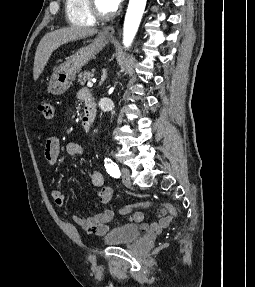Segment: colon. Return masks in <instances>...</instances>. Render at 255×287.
<instances>
[{
	"instance_id": "obj_1",
	"label": "colon",
	"mask_w": 255,
	"mask_h": 287,
	"mask_svg": "<svg viewBox=\"0 0 255 287\" xmlns=\"http://www.w3.org/2000/svg\"><path fill=\"white\" fill-rule=\"evenodd\" d=\"M38 108L44 119L51 120L54 117L55 106L52 102L43 100L42 102H40ZM151 204L152 203L149 201L127 204L120 208L119 213L122 215H128L131 214L135 209L145 208L150 206ZM165 208L170 213L172 220L177 219V211L172 205L165 204Z\"/></svg>"
}]
</instances>
